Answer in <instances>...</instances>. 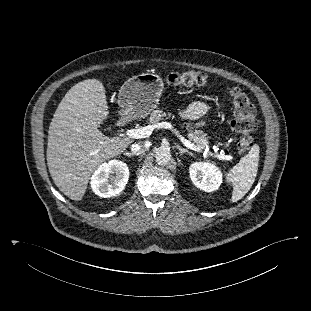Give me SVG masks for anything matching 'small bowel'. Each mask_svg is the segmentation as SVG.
<instances>
[{
    "instance_id": "c3829d8e",
    "label": "small bowel",
    "mask_w": 311,
    "mask_h": 311,
    "mask_svg": "<svg viewBox=\"0 0 311 311\" xmlns=\"http://www.w3.org/2000/svg\"><path fill=\"white\" fill-rule=\"evenodd\" d=\"M209 106L203 102H193L186 109L181 110L179 115L190 122L201 123V118L208 112Z\"/></svg>"
}]
</instances>
